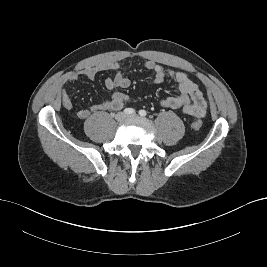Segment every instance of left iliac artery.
Returning <instances> with one entry per match:
<instances>
[{"mask_svg": "<svg viewBox=\"0 0 267 267\" xmlns=\"http://www.w3.org/2000/svg\"><path fill=\"white\" fill-rule=\"evenodd\" d=\"M139 115L142 116V117H144V116L147 115V112L145 110H140L139 111Z\"/></svg>", "mask_w": 267, "mask_h": 267, "instance_id": "44dca946", "label": "left iliac artery"}]
</instances>
